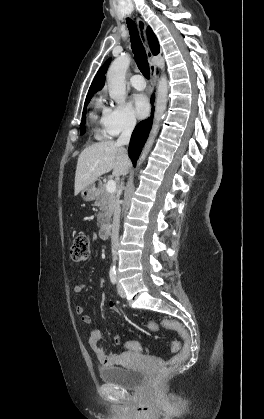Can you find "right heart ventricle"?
<instances>
[{"instance_id": "obj_1", "label": "right heart ventricle", "mask_w": 264, "mask_h": 419, "mask_svg": "<svg viewBox=\"0 0 264 419\" xmlns=\"http://www.w3.org/2000/svg\"><path fill=\"white\" fill-rule=\"evenodd\" d=\"M105 111L106 109L103 104L102 97H96L93 102V109L90 112V120L93 125V134L96 139H103L107 136L103 126V115Z\"/></svg>"}]
</instances>
